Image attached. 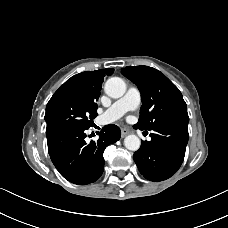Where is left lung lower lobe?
<instances>
[{"label":"left lung lower lobe","mask_w":228,"mask_h":228,"mask_svg":"<svg viewBox=\"0 0 228 228\" xmlns=\"http://www.w3.org/2000/svg\"><path fill=\"white\" fill-rule=\"evenodd\" d=\"M151 141H141L134 153L140 173L150 181L170 178L180 168L188 142V124H168L155 128Z\"/></svg>","instance_id":"obj_1"}]
</instances>
